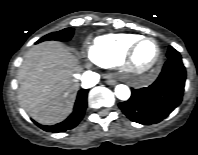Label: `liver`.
<instances>
[{
    "instance_id": "liver-1",
    "label": "liver",
    "mask_w": 198,
    "mask_h": 155,
    "mask_svg": "<svg viewBox=\"0 0 198 155\" xmlns=\"http://www.w3.org/2000/svg\"><path fill=\"white\" fill-rule=\"evenodd\" d=\"M79 65L70 50L57 42L34 46L18 70V100L35 121L52 125L72 110Z\"/></svg>"
}]
</instances>
